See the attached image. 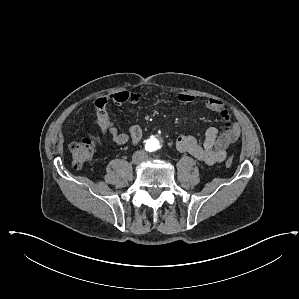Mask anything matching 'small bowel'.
<instances>
[{
	"instance_id": "1",
	"label": "small bowel",
	"mask_w": 299,
	"mask_h": 299,
	"mask_svg": "<svg viewBox=\"0 0 299 299\" xmlns=\"http://www.w3.org/2000/svg\"><path fill=\"white\" fill-rule=\"evenodd\" d=\"M140 98V93L135 91H120L108 96L98 97L95 100V107L97 110V124L102 134L119 145H123L128 141L132 145L140 143L143 136L141 127L131 125L129 135L122 133L118 130L113 115L108 111L109 104L117 106L126 103L136 104ZM178 99L183 104H191L195 100L189 94H180ZM205 108L222 119V132L219 133L215 127L208 128L202 143L192 135H179L176 138L175 146L180 152L189 153L199 161L213 165L225 159L227 148L239 138L241 130L220 101L208 98L205 100Z\"/></svg>"
}]
</instances>
